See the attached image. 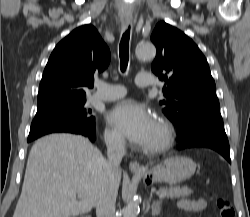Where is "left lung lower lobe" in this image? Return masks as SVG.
I'll return each instance as SVG.
<instances>
[{"mask_svg": "<svg viewBox=\"0 0 250 217\" xmlns=\"http://www.w3.org/2000/svg\"><path fill=\"white\" fill-rule=\"evenodd\" d=\"M177 149L210 148L220 153L229 163V143L224 130L220 109L190 115L186 124L177 129Z\"/></svg>", "mask_w": 250, "mask_h": 217, "instance_id": "left-lung-lower-lobe-1", "label": "left lung lower lobe"}]
</instances>
